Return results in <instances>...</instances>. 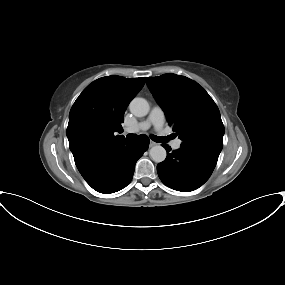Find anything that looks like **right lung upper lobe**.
Segmentation results:
<instances>
[{
	"label": "right lung upper lobe",
	"mask_w": 285,
	"mask_h": 285,
	"mask_svg": "<svg viewBox=\"0 0 285 285\" xmlns=\"http://www.w3.org/2000/svg\"><path fill=\"white\" fill-rule=\"evenodd\" d=\"M145 78L106 76L88 85L69 113L67 137L74 160L125 140L121 133L124 112L141 90Z\"/></svg>",
	"instance_id": "right-lung-upper-lobe-1"
}]
</instances>
